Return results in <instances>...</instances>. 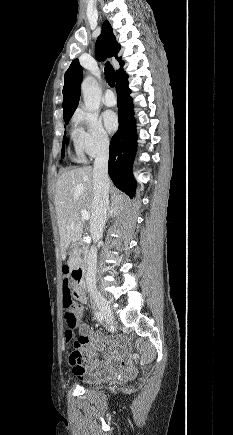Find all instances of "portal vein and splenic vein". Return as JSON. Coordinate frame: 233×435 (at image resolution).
Returning <instances> with one entry per match:
<instances>
[{
    "mask_svg": "<svg viewBox=\"0 0 233 435\" xmlns=\"http://www.w3.org/2000/svg\"><path fill=\"white\" fill-rule=\"evenodd\" d=\"M81 217L83 220H89L90 219V214L87 210L82 209L81 210Z\"/></svg>",
    "mask_w": 233,
    "mask_h": 435,
    "instance_id": "portal-vein-and-splenic-vein-1",
    "label": "portal vein and splenic vein"
}]
</instances>
